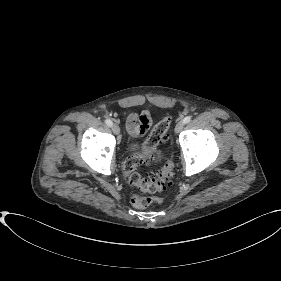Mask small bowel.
<instances>
[{"label":"small bowel","instance_id":"1","mask_svg":"<svg viewBox=\"0 0 281 281\" xmlns=\"http://www.w3.org/2000/svg\"><path fill=\"white\" fill-rule=\"evenodd\" d=\"M149 112L144 111L140 115L131 113L126 118V128L132 137L144 136L151 126Z\"/></svg>","mask_w":281,"mask_h":281}]
</instances>
